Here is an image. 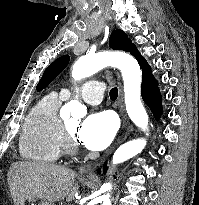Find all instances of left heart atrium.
<instances>
[{
    "label": "left heart atrium",
    "mask_w": 199,
    "mask_h": 205,
    "mask_svg": "<svg viewBox=\"0 0 199 205\" xmlns=\"http://www.w3.org/2000/svg\"><path fill=\"white\" fill-rule=\"evenodd\" d=\"M117 131L115 117L107 111L89 115L77 130V139L86 148L93 151L105 149L113 140Z\"/></svg>",
    "instance_id": "1"
}]
</instances>
